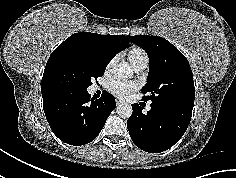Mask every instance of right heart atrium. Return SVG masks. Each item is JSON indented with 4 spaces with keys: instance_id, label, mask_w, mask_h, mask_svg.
Segmentation results:
<instances>
[{
    "instance_id": "right-heart-atrium-1",
    "label": "right heart atrium",
    "mask_w": 236,
    "mask_h": 178,
    "mask_svg": "<svg viewBox=\"0 0 236 178\" xmlns=\"http://www.w3.org/2000/svg\"><path fill=\"white\" fill-rule=\"evenodd\" d=\"M113 63H114V59H112L108 62V64L105 67V72L106 73H108L111 70Z\"/></svg>"
}]
</instances>
